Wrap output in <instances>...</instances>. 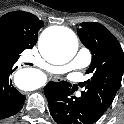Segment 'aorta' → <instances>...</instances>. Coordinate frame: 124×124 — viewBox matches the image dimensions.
I'll return each instance as SVG.
<instances>
[{
  "label": "aorta",
  "mask_w": 124,
  "mask_h": 124,
  "mask_svg": "<svg viewBox=\"0 0 124 124\" xmlns=\"http://www.w3.org/2000/svg\"><path fill=\"white\" fill-rule=\"evenodd\" d=\"M42 56L50 63L64 64L69 62L76 54L78 40L75 34L66 28L54 32L45 31L39 41ZM32 74L28 70H20L15 74L17 85L23 89H34L31 83Z\"/></svg>",
  "instance_id": "aorta-1"
}]
</instances>
